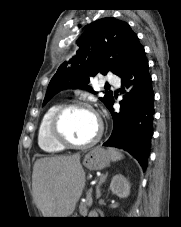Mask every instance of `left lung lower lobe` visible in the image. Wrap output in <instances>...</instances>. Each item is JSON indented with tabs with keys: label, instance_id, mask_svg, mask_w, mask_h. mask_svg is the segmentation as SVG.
<instances>
[{
	"label": "left lung lower lobe",
	"instance_id": "1",
	"mask_svg": "<svg viewBox=\"0 0 181 227\" xmlns=\"http://www.w3.org/2000/svg\"><path fill=\"white\" fill-rule=\"evenodd\" d=\"M119 77L123 85L132 89L120 102L119 113L114 112V99L108 106L113 117V131L103 145L128 151L145 170L153 135L154 93L145 50L140 43L133 49Z\"/></svg>",
	"mask_w": 181,
	"mask_h": 227
}]
</instances>
